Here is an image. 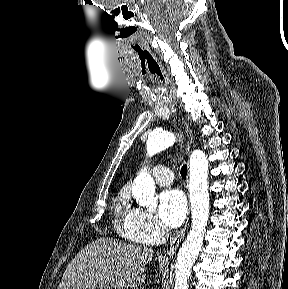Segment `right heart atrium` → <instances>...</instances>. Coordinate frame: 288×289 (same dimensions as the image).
Masks as SVG:
<instances>
[{
	"label": "right heart atrium",
	"instance_id": "obj_1",
	"mask_svg": "<svg viewBox=\"0 0 288 289\" xmlns=\"http://www.w3.org/2000/svg\"><path fill=\"white\" fill-rule=\"evenodd\" d=\"M125 225L129 238L142 244H157L167 233L151 212L141 208L131 209Z\"/></svg>",
	"mask_w": 288,
	"mask_h": 289
}]
</instances>
